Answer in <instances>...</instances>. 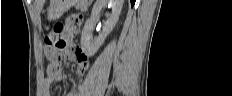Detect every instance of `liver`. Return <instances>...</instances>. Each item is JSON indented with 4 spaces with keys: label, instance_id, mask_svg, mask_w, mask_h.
<instances>
[{
    "label": "liver",
    "instance_id": "liver-1",
    "mask_svg": "<svg viewBox=\"0 0 232 96\" xmlns=\"http://www.w3.org/2000/svg\"><path fill=\"white\" fill-rule=\"evenodd\" d=\"M43 3H44V0H41V1H40V9H42Z\"/></svg>",
    "mask_w": 232,
    "mask_h": 96
}]
</instances>
